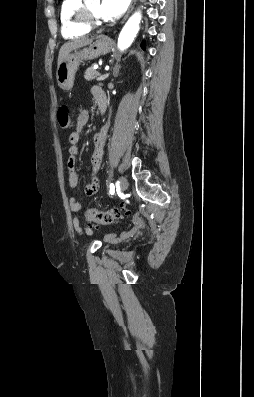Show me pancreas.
I'll return each instance as SVG.
<instances>
[{
    "label": "pancreas",
    "mask_w": 254,
    "mask_h": 397,
    "mask_svg": "<svg viewBox=\"0 0 254 397\" xmlns=\"http://www.w3.org/2000/svg\"><path fill=\"white\" fill-rule=\"evenodd\" d=\"M97 76H99V73L97 71H95L94 68L91 66L86 70L84 78L87 81H91V80L95 79Z\"/></svg>",
    "instance_id": "cf45deb5"
}]
</instances>
